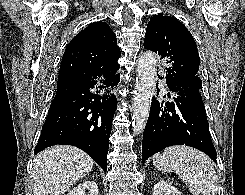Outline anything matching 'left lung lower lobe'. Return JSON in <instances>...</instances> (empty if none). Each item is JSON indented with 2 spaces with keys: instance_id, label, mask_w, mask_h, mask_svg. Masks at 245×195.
I'll use <instances>...</instances> for the list:
<instances>
[{
  "instance_id": "left-lung-lower-lobe-1",
  "label": "left lung lower lobe",
  "mask_w": 245,
  "mask_h": 195,
  "mask_svg": "<svg viewBox=\"0 0 245 195\" xmlns=\"http://www.w3.org/2000/svg\"><path fill=\"white\" fill-rule=\"evenodd\" d=\"M166 82L177 95L174 101L168 102L153 97L143 134L142 162L166 147L187 145L206 153L217 163L200 89L167 78Z\"/></svg>"
}]
</instances>
